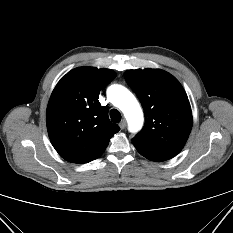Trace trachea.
I'll return each instance as SVG.
<instances>
[{"label": "trachea", "instance_id": "obj_1", "mask_svg": "<svg viewBox=\"0 0 233 233\" xmlns=\"http://www.w3.org/2000/svg\"><path fill=\"white\" fill-rule=\"evenodd\" d=\"M110 117H111V121L114 122V123H118V122L121 121V114L116 109H112L110 111Z\"/></svg>", "mask_w": 233, "mask_h": 233}]
</instances>
